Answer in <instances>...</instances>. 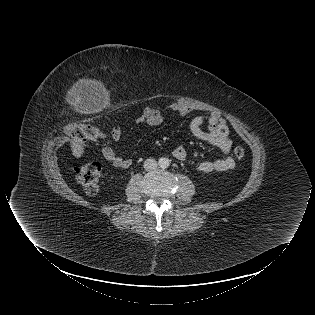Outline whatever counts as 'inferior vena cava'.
Listing matches in <instances>:
<instances>
[{"mask_svg":"<svg viewBox=\"0 0 315 315\" xmlns=\"http://www.w3.org/2000/svg\"><path fill=\"white\" fill-rule=\"evenodd\" d=\"M158 163L155 159H147L144 162V168L146 171H153L157 168Z\"/></svg>","mask_w":315,"mask_h":315,"instance_id":"obj_1","label":"inferior vena cava"}]
</instances>
